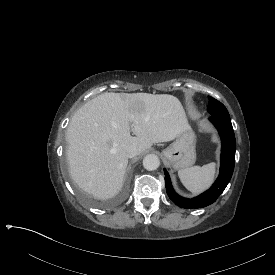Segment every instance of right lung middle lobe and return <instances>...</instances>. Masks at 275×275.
<instances>
[{
    "mask_svg": "<svg viewBox=\"0 0 275 275\" xmlns=\"http://www.w3.org/2000/svg\"><path fill=\"white\" fill-rule=\"evenodd\" d=\"M61 160L64 174L71 182L75 194L78 196V199L82 201V203L85 204L87 207L91 209H108L109 207H114L115 205L119 204L122 201V199H124L127 196L129 186L131 185L130 175L123 176V185L118 195H115L111 200L103 202L101 199H96L90 196L89 194H85L83 192L82 187L79 186V181L76 179L75 174L71 171L69 166L67 145L61 146Z\"/></svg>",
    "mask_w": 275,
    "mask_h": 275,
    "instance_id": "dd1d6c3e",
    "label": "right lung middle lobe"
}]
</instances>
